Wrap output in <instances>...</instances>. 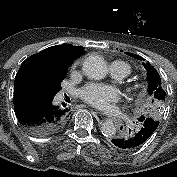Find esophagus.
Instances as JSON below:
<instances>
[{"label":"esophagus","mask_w":177,"mask_h":177,"mask_svg":"<svg viewBox=\"0 0 177 177\" xmlns=\"http://www.w3.org/2000/svg\"><path fill=\"white\" fill-rule=\"evenodd\" d=\"M98 114H99V116H100V117H102V118H103V117H105V116H106V114H107V113H106V111H105V110H103V109H102V110H100V111H99V113H98Z\"/></svg>","instance_id":"34e87169"}]
</instances>
